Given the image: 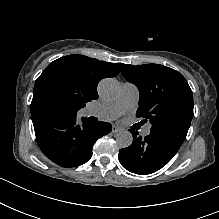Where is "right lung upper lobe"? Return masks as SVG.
I'll return each mask as SVG.
<instances>
[{
    "label": "right lung upper lobe",
    "instance_id": "obj_1",
    "mask_svg": "<svg viewBox=\"0 0 219 219\" xmlns=\"http://www.w3.org/2000/svg\"><path fill=\"white\" fill-rule=\"evenodd\" d=\"M124 64L109 63L73 54L50 63L37 78L31 102V114L39 113L40 99L50 88H60L74 97L81 108L98 98L100 80L116 76Z\"/></svg>",
    "mask_w": 219,
    "mask_h": 219
}]
</instances>
